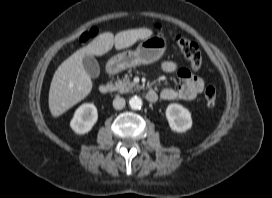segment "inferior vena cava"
Segmentation results:
<instances>
[{
    "label": "inferior vena cava",
    "mask_w": 272,
    "mask_h": 198,
    "mask_svg": "<svg viewBox=\"0 0 272 198\" xmlns=\"http://www.w3.org/2000/svg\"><path fill=\"white\" fill-rule=\"evenodd\" d=\"M126 105L125 99L122 97H116L113 100V107L117 110L123 109Z\"/></svg>",
    "instance_id": "inferior-vena-cava-1"
}]
</instances>
